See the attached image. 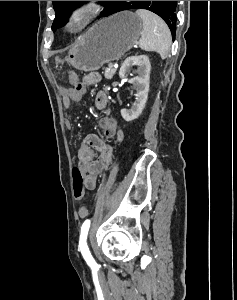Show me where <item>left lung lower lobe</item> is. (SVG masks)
I'll list each match as a JSON object with an SVG mask.
<instances>
[{"label": "left lung lower lobe", "mask_w": 237, "mask_h": 300, "mask_svg": "<svg viewBox=\"0 0 237 300\" xmlns=\"http://www.w3.org/2000/svg\"><path fill=\"white\" fill-rule=\"evenodd\" d=\"M118 4H119V1H116V3L111 7V9H110V15L111 14H114V13H116V12H119V11H117L118 10ZM109 16V15H108ZM175 38V34L173 35V39Z\"/></svg>", "instance_id": "1"}]
</instances>
